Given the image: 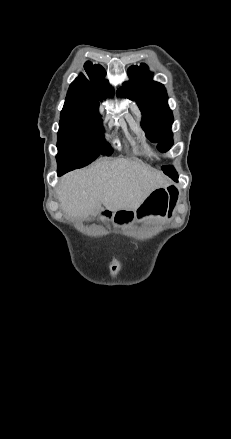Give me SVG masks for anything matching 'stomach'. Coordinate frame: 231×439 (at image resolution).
I'll return each instance as SVG.
<instances>
[{
  "label": "stomach",
  "instance_id": "1",
  "mask_svg": "<svg viewBox=\"0 0 231 439\" xmlns=\"http://www.w3.org/2000/svg\"><path fill=\"white\" fill-rule=\"evenodd\" d=\"M169 200L167 188L153 190L139 205L138 208L118 210L120 218L116 221V227L126 229L135 221L143 222L150 219L163 218L168 214ZM129 213V215H124Z\"/></svg>",
  "mask_w": 231,
  "mask_h": 439
}]
</instances>
